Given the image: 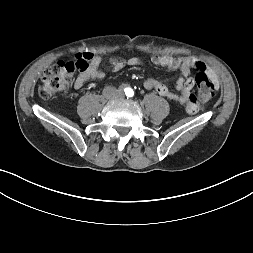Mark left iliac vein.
<instances>
[{
    "label": "left iliac vein",
    "instance_id": "4c4485c4",
    "mask_svg": "<svg viewBox=\"0 0 253 253\" xmlns=\"http://www.w3.org/2000/svg\"><path fill=\"white\" fill-rule=\"evenodd\" d=\"M118 95H119V96H122L123 94L120 92V93H118Z\"/></svg>",
    "mask_w": 253,
    "mask_h": 253
}]
</instances>
